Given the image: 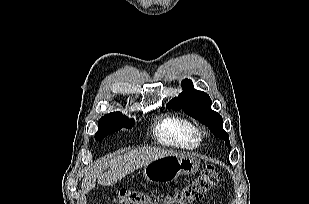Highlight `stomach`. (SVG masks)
I'll return each mask as SVG.
<instances>
[{
    "label": "stomach",
    "mask_w": 309,
    "mask_h": 204,
    "mask_svg": "<svg viewBox=\"0 0 309 204\" xmlns=\"http://www.w3.org/2000/svg\"><path fill=\"white\" fill-rule=\"evenodd\" d=\"M199 165V161L189 155H168L145 165L143 175L149 182L173 181L180 175L195 173Z\"/></svg>",
    "instance_id": "1"
}]
</instances>
